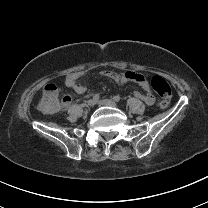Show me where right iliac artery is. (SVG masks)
<instances>
[{
    "mask_svg": "<svg viewBox=\"0 0 208 208\" xmlns=\"http://www.w3.org/2000/svg\"><path fill=\"white\" fill-rule=\"evenodd\" d=\"M99 98H100V95H99V94H95V95L93 96V99H94L95 101L99 100Z\"/></svg>",
    "mask_w": 208,
    "mask_h": 208,
    "instance_id": "obj_1",
    "label": "right iliac artery"
}]
</instances>
